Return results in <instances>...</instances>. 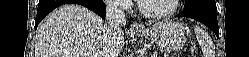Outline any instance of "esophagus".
Here are the masks:
<instances>
[{
    "label": "esophagus",
    "mask_w": 249,
    "mask_h": 57,
    "mask_svg": "<svg viewBox=\"0 0 249 57\" xmlns=\"http://www.w3.org/2000/svg\"><path fill=\"white\" fill-rule=\"evenodd\" d=\"M139 29V27L136 25V24H132L131 26H130V30L131 31H136V30H138Z\"/></svg>",
    "instance_id": "obj_1"
}]
</instances>
